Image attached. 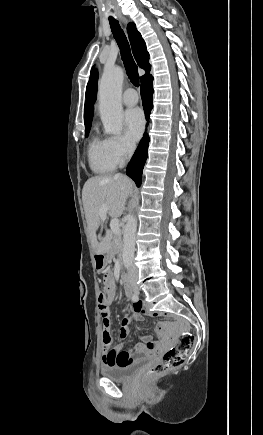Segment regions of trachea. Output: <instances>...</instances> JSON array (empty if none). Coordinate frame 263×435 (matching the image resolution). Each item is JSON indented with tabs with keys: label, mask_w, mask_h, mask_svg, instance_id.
<instances>
[{
	"label": "trachea",
	"mask_w": 263,
	"mask_h": 435,
	"mask_svg": "<svg viewBox=\"0 0 263 435\" xmlns=\"http://www.w3.org/2000/svg\"><path fill=\"white\" fill-rule=\"evenodd\" d=\"M112 33L119 46L122 61L127 75L134 86L139 85V74L137 65L132 57L130 46L124 31L121 29L117 20H109Z\"/></svg>",
	"instance_id": "3493384b"
}]
</instances>
